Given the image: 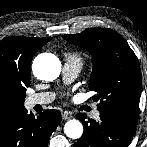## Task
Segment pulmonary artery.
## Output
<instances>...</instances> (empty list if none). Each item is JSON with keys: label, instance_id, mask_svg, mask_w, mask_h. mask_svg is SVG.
Segmentation results:
<instances>
[{"label": "pulmonary artery", "instance_id": "obj_1", "mask_svg": "<svg viewBox=\"0 0 147 147\" xmlns=\"http://www.w3.org/2000/svg\"><path fill=\"white\" fill-rule=\"evenodd\" d=\"M82 68V63L79 59L67 58L63 66V79L66 83L72 82L79 74ZM55 94L52 92L35 93L27 97L26 107L32 108L35 105H45L52 102ZM100 112L98 110L93 112L94 118H99Z\"/></svg>", "mask_w": 147, "mask_h": 147}]
</instances>
